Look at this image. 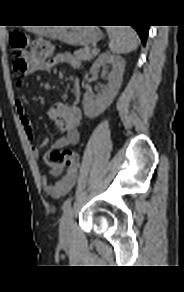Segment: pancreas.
Instances as JSON below:
<instances>
[{
    "mask_svg": "<svg viewBox=\"0 0 184 292\" xmlns=\"http://www.w3.org/2000/svg\"><path fill=\"white\" fill-rule=\"evenodd\" d=\"M97 54H98V52H93V49H90L89 47L79 49V50L75 51V53H74L75 58L79 61L91 60Z\"/></svg>",
    "mask_w": 184,
    "mask_h": 292,
    "instance_id": "pancreas-1",
    "label": "pancreas"
}]
</instances>
